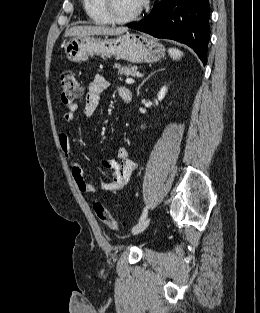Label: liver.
Listing matches in <instances>:
<instances>
[{
    "label": "liver",
    "mask_w": 260,
    "mask_h": 313,
    "mask_svg": "<svg viewBox=\"0 0 260 313\" xmlns=\"http://www.w3.org/2000/svg\"><path fill=\"white\" fill-rule=\"evenodd\" d=\"M127 30L126 27L74 26L65 32V36L83 37L91 35H120L127 32Z\"/></svg>",
    "instance_id": "6515ba94"
}]
</instances>
